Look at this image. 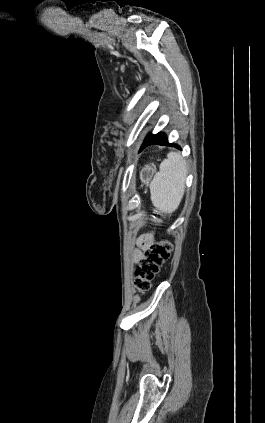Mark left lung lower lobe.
<instances>
[{"mask_svg": "<svg viewBox=\"0 0 265 423\" xmlns=\"http://www.w3.org/2000/svg\"><path fill=\"white\" fill-rule=\"evenodd\" d=\"M151 144H160V145L168 144V140H167L166 135L163 134V133H158L156 135H152V134L147 135L144 143L141 146V149H143L144 147L151 145ZM174 146L179 148L178 145H174Z\"/></svg>", "mask_w": 265, "mask_h": 423, "instance_id": "0a47b994", "label": "left lung lower lobe"}]
</instances>
